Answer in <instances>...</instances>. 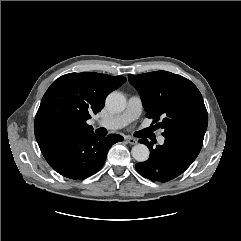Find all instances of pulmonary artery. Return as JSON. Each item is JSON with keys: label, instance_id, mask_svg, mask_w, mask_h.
I'll use <instances>...</instances> for the list:
<instances>
[{"label": "pulmonary artery", "instance_id": "1", "mask_svg": "<svg viewBox=\"0 0 241 241\" xmlns=\"http://www.w3.org/2000/svg\"><path fill=\"white\" fill-rule=\"evenodd\" d=\"M142 112V102L138 96H132L129 98L126 109L109 119L99 120L98 124L107 129H120L139 118ZM165 138L163 136L158 137V142L163 144Z\"/></svg>", "mask_w": 241, "mask_h": 241}]
</instances>
